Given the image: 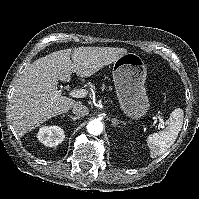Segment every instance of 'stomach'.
I'll return each instance as SVG.
<instances>
[{"mask_svg": "<svg viewBox=\"0 0 199 199\" xmlns=\"http://www.w3.org/2000/svg\"><path fill=\"white\" fill-rule=\"evenodd\" d=\"M146 76V65L135 53H125L114 62L113 81L119 106L132 120L142 119L150 108Z\"/></svg>", "mask_w": 199, "mask_h": 199, "instance_id": "1", "label": "stomach"}]
</instances>
